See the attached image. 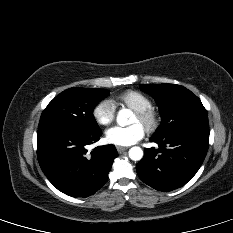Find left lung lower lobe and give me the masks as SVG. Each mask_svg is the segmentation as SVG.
Segmentation results:
<instances>
[{
  "mask_svg": "<svg viewBox=\"0 0 233 233\" xmlns=\"http://www.w3.org/2000/svg\"><path fill=\"white\" fill-rule=\"evenodd\" d=\"M150 141L159 148L146 149L136 170L144 183L167 192L182 187L199 170L209 147V128H189Z\"/></svg>",
  "mask_w": 233,
  "mask_h": 233,
  "instance_id": "1",
  "label": "left lung lower lobe"
}]
</instances>
